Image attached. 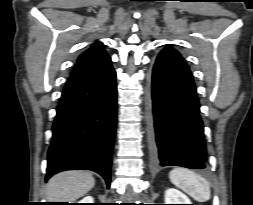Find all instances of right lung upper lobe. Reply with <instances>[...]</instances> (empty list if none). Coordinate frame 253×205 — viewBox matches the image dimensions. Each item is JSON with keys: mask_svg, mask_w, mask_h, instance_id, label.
<instances>
[{"mask_svg": "<svg viewBox=\"0 0 253 205\" xmlns=\"http://www.w3.org/2000/svg\"><path fill=\"white\" fill-rule=\"evenodd\" d=\"M109 59L110 57L105 52L104 45L100 42H96L79 56L71 75L94 68L105 63Z\"/></svg>", "mask_w": 253, "mask_h": 205, "instance_id": "1", "label": "right lung upper lobe"}]
</instances>
